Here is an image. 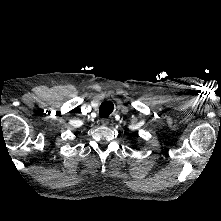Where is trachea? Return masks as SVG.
Instances as JSON below:
<instances>
[{"mask_svg":"<svg viewBox=\"0 0 221 221\" xmlns=\"http://www.w3.org/2000/svg\"><path fill=\"white\" fill-rule=\"evenodd\" d=\"M113 103L110 101L103 102L99 107V115L103 118L108 117L113 111Z\"/></svg>","mask_w":221,"mask_h":221,"instance_id":"3493384b","label":"trachea"}]
</instances>
